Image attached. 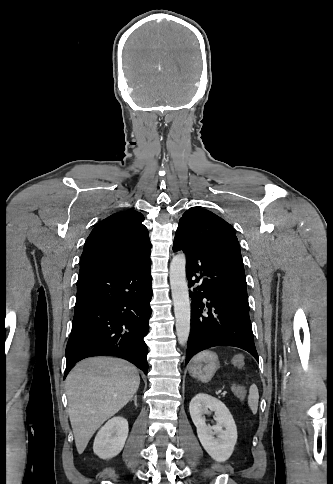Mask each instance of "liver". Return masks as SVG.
Instances as JSON below:
<instances>
[{"label": "liver", "instance_id": "1", "mask_svg": "<svg viewBox=\"0 0 333 484\" xmlns=\"http://www.w3.org/2000/svg\"><path fill=\"white\" fill-rule=\"evenodd\" d=\"M139 384L137 369L118 358H88L72 369L66 378V394L79 454L104 421L129 402Z\"/></svg>", "mask_w": 333, "mask_h": 484}]
</instances>
